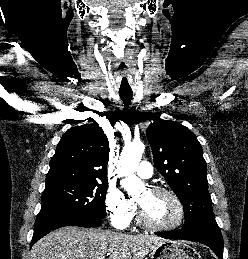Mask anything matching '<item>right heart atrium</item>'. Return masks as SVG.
<instances>
[{
    "label": "right heart atrium",
    "instance_id": "d8ad5b80",
    "mask_svg": "<svg viewBox=\"0 0 248 259\" xmlns=\"http://www.w3.org/2000/svg\"><path fill=\"white\" fill-rule=\"evenodd\" d=\"M106 210L116 229H126L135 216L136 206L122 191L111 189L106 197Z\"/></svg>",
    "mask_w": 248,
    "mask_h": 259
}]
</instances>
